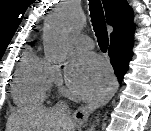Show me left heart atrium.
I'll use <instances>...</instances> for the list:
<instances>
[{
    "label": "left heart atrium",
    "mask_w": 151,
    "mask_h": 131,
    "mask_svg": "<svg viewBox=\"0 0 151 131\" xmlns=\"http://www.w3.org/2000/svg\"><path fill=\"white\" fill-rule=\"evenodd\" d=\"M110 73L95 55L75 54L68 70V85L74 95L90 100L100 96L107 88Z\"/></svg>",
    "instance_id": "obj_1"
}]
</instances>
